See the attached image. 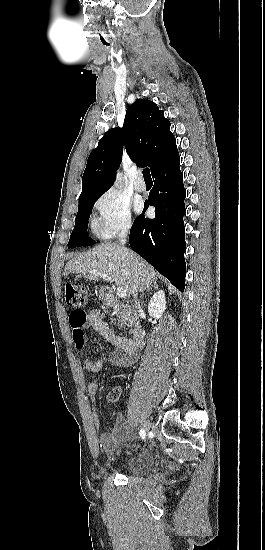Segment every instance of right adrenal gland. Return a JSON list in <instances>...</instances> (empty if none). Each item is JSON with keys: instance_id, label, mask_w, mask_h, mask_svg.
Returning a JSON list of instances; mask_svg holds the SVG:
<instances>
[{"instance_id": "2a0ac1e0", "label": "right adrenal gland", "mask_w": 265, "mask_h": 550, "mask_svg": "<svg viewBox=\"0 0 265 550\" xmlns=\"http://www.w3.org/2000/svg\"><path fill=\"white\" fill-rule=\"evenodd\" d=\"M152 288L158 289V285H157L156 282H155L153 285H151L149 288H147L145 292L147 293V292L150 291ZM143 296H144V293L141 294L140 298L143 299Z\"/></svg>"}]
</instances>
